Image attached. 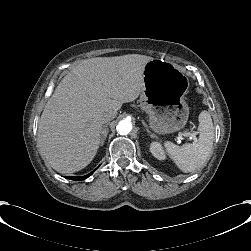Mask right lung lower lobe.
Segmentation results:
<instances>
[{
	"mask_svg": "<svg viewBox=\"0 0 251 251\" xmlns=\"http://www.w3.org/2000/svg\"><path fill=\"white\" fill-rule=\"evenodd\" d=\"M94 171H92L91 173L85 175V176H81V177H75V176H66L65 178L67 179H71V180H84L86 178H88Z\"/></svg>",
	"mask_w": 251,
	"mask_h": 251,
	"instance_id": "1",
	"label": "right lung lower lobe"
}]
</instances>
